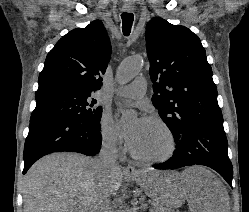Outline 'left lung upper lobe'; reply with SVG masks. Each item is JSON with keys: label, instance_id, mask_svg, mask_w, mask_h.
Masks as SVG:
<instances>
[{"label": "left lung upper lobe", "instance_id": "5c2ea615", "mask_svg": "<svg viewBox=\"0 0 249 212\" xmlns=\"http://www.w3.org/2000/svg\"><path fill=\"white\" fill-rule=\"evenodd\" d=\"M152 103L179 140L185 126L223 122L205 49L184 26L155 17L146 28Z\"/></svg>", "mask_w": 249, "mask_h": 212}]
</instances>
